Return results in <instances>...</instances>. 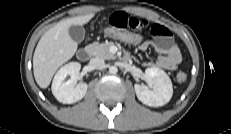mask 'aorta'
I'll list each match as a JSON object with an SVG mask.
<instances>
[{
    "label": "aorta",
    "mask_w": 231,
    "mask_h": 134,
    "mask_svg": "<svg viewBox=\"0 0 231 134\" xmlns=\"http://www.w3.org/2000/svg\"><path fill=\"white\" fill-rule=\"evenodd\" d=\"M109 72L111 74H116L118 72V68L116 66H110L109 67Z\"/></svg>",
    "instance_id": "1"
}]
</instances>
